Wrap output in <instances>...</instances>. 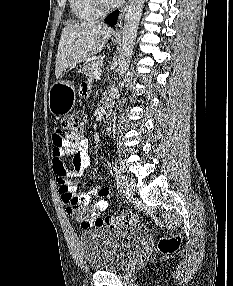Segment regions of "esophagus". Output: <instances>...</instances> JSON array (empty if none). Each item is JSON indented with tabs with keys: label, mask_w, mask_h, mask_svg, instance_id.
<instances>
[{
	"label": "esophagus",
	"mask_w": 233,
	"mask_h": 286,
	"mask_svg": "<svg viewBox=\"0 0 233 286\" xmlns=\"http://www.w3.org/2000/svg\"><path fill=\"white\" fill-rule=\"evenodd\" d=\"M127 8H128V2H126L125 5L120 10V14H119L118 20L116 22L115 31H114V35L116 37H120L122 34L123 19H124L125 13L127 11Z\"/></svg>",
	"instance_id": "34e87169"
}]
</instances>
